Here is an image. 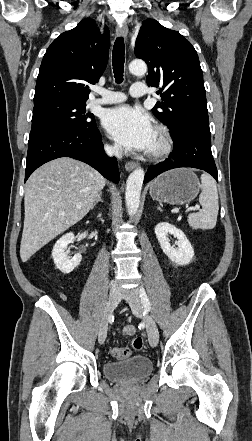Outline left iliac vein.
<instances>
[{"label": "left iliac vein", "mask_w": 252, "mask_h": 441, "mask_svg": "<svg viewBox=\"0 0 252 441\" xmlns=\"http://www.w3.org/2000/svg\"><path fill=\"white\" fill-rule=\"evenodd\" d=\"M131 310L136 317H143L146 324V331L148 334L149 343L151 346L155 347L159 341V332L157 325L152 317L143 316V306L139 298L138 291L134 289L131 293Z\"/></svg>", "instance_id": "obj_1"}]
</instances>
